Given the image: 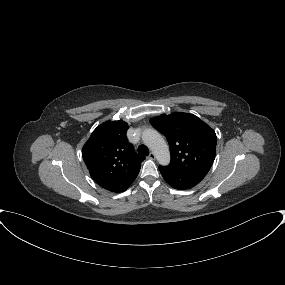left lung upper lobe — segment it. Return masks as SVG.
Listing matches in <instances>:
<instances>
[{"instance_id": "5c2ea615", "label": "left lung upper lobe", "mask_w": 285, "mask_h": 285, "mask_svg": "<svg viewBox=\"0 0 285 285\" xmlns=\"http://www.w3.org/2000/svg\"><path fill=\"white\" fill-rule=\"evenodd\" d=\"M150 122L169 143L171 161L167 168L180 173H208L217 143L213 129L187 113L163 114Z\"/></svg>"}]
</instances>
